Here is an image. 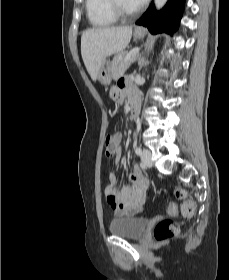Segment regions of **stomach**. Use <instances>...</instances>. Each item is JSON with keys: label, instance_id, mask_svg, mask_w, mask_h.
Returning a JSON list of instances; mask_svg holds the SVG:
<instances>
[{"label": "stomach", "instance_id": "1", "mask_svg": "<svg viewBox=\"0 0 229 280\" xmlns=\"http://www.w3.org/2000/svg\"><path fill=\"white\" fill-rule=\"evenodd\" d=\"M145 35V32L143 30L141 31H135L134 37L136 39H140ZM97 79L99 82L105 86L110 85L112 80V73H111V64L109 61L105 60L98 72Z\"/></svg>", "mask_w": 229, "mask_h": 280}]
</instances>
